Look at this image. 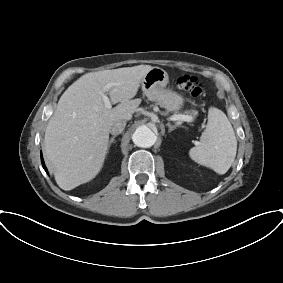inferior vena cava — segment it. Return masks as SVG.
Here are the masks:
<instances>
[{"instance_id": "602c4592", "label": "inferior vena cava", "mask_w": 283, "mask_h": 283, "mask_svg": "<svg viewBox=\"0 0 283 283\" xmlns=\"http://www.w3.org/2000/svg\"><path fill=\"white\" fill-rule=\"evenodd\" d=\"M125 126H126L125 120H118L114 122L110 127V133L112 135H118L124 130Z\"/></svg>"}]
</instances>
